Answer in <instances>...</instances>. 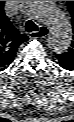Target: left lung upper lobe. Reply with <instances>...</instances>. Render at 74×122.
Returning a JSON list of instances; mask_svg holds the SVG:
<instances>
[{
    "mask_svg": "<svg viewBox=\"0 0 74 122\" xmlns=\"http://www.w3.org/2000/svg\"><path fill=\"white\" fill-rule=\"evenodd\" d=\"M67 4L72 15V27L74 33V1H67ZM56 58L74 65V35L70 48L64 53L56 54Z\"/></svg>",
    "mask_w": 74,
    "mask_h": 122,
    "instance_id": "left-lung-upper-lobe-1",
    "label": "left lung upper lobe"
}]
</instances>
